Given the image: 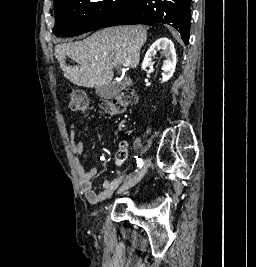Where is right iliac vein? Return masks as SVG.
<instances>
[{
    "label": "right iliac vein",
    "instance_id": "1",
    "mask_svg": "<svg viewBox=\"0 0 256 267\" xmlns=\"http://www.w3.org/2000/svg\"><path fill=\"white\" fill-rule=\"evenodd\" d=\"M147 169H148V162L146 161L137 174H135L132 178H130L129 180L125 181L122 184V186L118 190V193L127 191L129 188L136 185L145 176Z\"/></svg>",
    "mask_w": 256,
    "mask_h": 267
}]
</instances>
